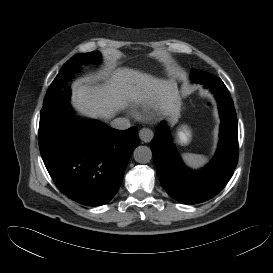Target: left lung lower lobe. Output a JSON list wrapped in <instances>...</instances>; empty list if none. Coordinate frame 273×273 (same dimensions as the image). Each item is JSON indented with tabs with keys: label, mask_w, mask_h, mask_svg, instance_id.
<instances>
[{
	"label": "left lung lower lobe",
	"mask_w": 273,
	"mask_h": 273,
	"mask_svg": "<svg viewBox=\"0 0 273 273\" xmlns=\"http://www.w3.org/2000/svg\"><path fill=\"white\" fill-rule=\"evenodd\" d=\"M195 71L194 82L209 88L218 103L220 139L213 160L200 170L187 168L175 149L165 122L156 127L151 141L160 183L173 199L183 204H197L216 196L232 177L238 162V122L229 91L220 78Z\"/></svg>",
	"instance_id": "0a47b994"
}]
</instances>
